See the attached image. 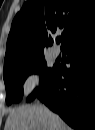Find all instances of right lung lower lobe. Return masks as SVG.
<instances>
[{"instance_id":"98d812e1","label":"right lung lower lobe","mask_w":95,"mask_h":130,"mask_svg":"<svg viewBox=\"0 0 95 130\" xmlns=\"http://www.w3.org/2000/svg\"><path fill=\"white\" fill-rule=\"evenodd\" d=\"M62 50L68 55L70 69L56 66L36 96L71 127L87 130L95 120V31Z\"/></svg>"}]
</instances>
